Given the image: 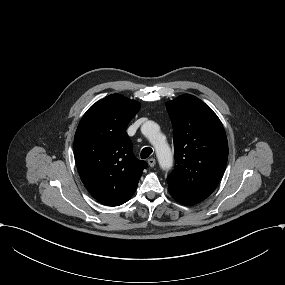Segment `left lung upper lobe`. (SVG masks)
I'll list each match as a JSON object with an SVG mask.
<instances>
[{
    "mask_svg": "<svg viewBox=\"0 0 285 285\" xmlns=\"http://www.w3.org/2000/svg\"><path fill=\"white\" fill-rule=\"evenodd\" d=\"M173 125L175 168L168 176L174 199L197 204L221 180L228 142L217 115L200 99L185 94L166 103Z\"/></svg>",
    "mask_w": 285,
    "mask_h": 285,
    "instance_id": "5c2ea615",
    "label": "left lung upper lobe"
}]
</instances>
